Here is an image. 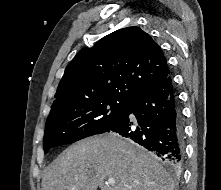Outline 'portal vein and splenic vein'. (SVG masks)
Here are the masks:
<instances>
[{"instance_id": "portal-vein-and-splenic-vein-1", "label": "portal vein and splenic vein", "mask_w": 221, "mask_h": 190, "mask_svg": "<svg viewBox=\"0 0 221 190\" xmlns=\"http://www.w3.org/2000/svg\"><path fill=\"white\" fill-rule=\"evenodd\" d=\"M115 183V180L113 178H109L107 181H106V184H114Z\"/></svg>"}]
</instances>
